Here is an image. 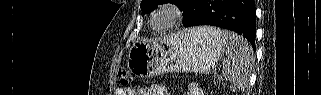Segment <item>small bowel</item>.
Returning a JSON list of instances; mask_svg holds the SVG:
<instances>
[{
	"mask_svg": "<svg viewBox=\"0 0 321 95\" xmlns=\"http://www.w3.org/2000/svg\"><path fill=\"white\" fill-rule=\"evenodd\" d=\"M127 95H169L168 89L160 84H154L148 89L136 91L134 89H126ZM200 91H197V94H200Z\"/></svg>",
	"mask_w": 321,
	"mask_h": 95,
	"instance_id": "small-bowel-1",
	"label": "small bowel"
}]
</instances>
